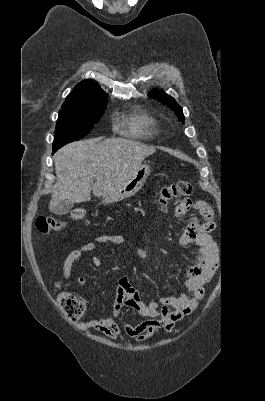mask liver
I'll return each mask as SVG.
<instances>
[{
  "mask_svg": "<svg viewBox=\"0 0 265 401\" xmlns=\"http://www.w3.org/2000/svg\"><path fill=\"white\" fill-rule=\"evenodd\" d=\"M102 138L70 142L54 154L57 180L50 207H57L62 201L86 203L91 190L95 196H106L120 188L146 156L156 152L155 146L138 140Z\"/></svg>",
  "mask_w": 265,
  "mask_h": 401,
  "instance_id": "liver-1",
  "label": "liver"
}]
</instances>
